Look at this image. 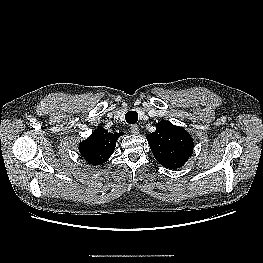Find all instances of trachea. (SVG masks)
<instances>
[{"mask_svg": "<svg viewBox=\"0 0 263 263\" xmlns=\"http://www.w3.org/2000/svg\"><path fill=\"white\" fill-rule=\"evenodd\" d=\"M125 119L129 124H136L138 121V113L136 111H128L125 114Z\"/></svg>", "mask_w": 263, "mask_h": 263, "instance_id": "obj_1", "label": "trachea"}]
</instances>
